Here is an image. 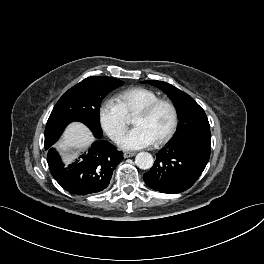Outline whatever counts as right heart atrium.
<instances>
[{"label":"right heart atrium","instance_id":"d8ad5b80","mask_svg":"<svg viewBox=\"0 0 264 264\" xmlns=\"http://www.w3.org/2000/svg\"><path fill=\"white\" fill-rule=\"evenodd\" d=\"M98 121L102 130L118 142L128 126V118L121 106L112 99L103 101L98 110Z\"/></svg>","mask_w":264,"mask_h":264}]
</instances>
